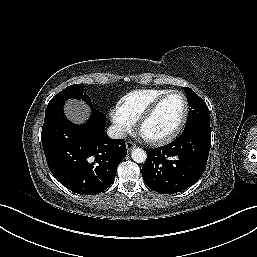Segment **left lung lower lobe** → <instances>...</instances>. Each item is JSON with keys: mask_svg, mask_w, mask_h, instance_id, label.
I'll return each mask as SVG.
<instances>
[{"mask_svg": "<svg viewBox=\"0 0 257 257\" xmlns=\"http://www.w3.org/2000/svg\"><path fill=\"white\" fill-rule=\"evenodd\" d=\"M210 146L211 130L193 128L168 145L147 149V159L142 167L145 183L162 194L187 189L202 176Z\"/></svg>", "mask_w": 257, "mask_h": 257, "instance_id": "0a47b994", "label": "left lung lower lobe"}]
</instances>
